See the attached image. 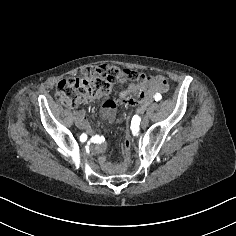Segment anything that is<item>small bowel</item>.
Returning a JSON list of instances; mask_svg holds the SVG:
<instances>
[{
	"label": "small bowel",
	"mask_w": 236,
	"mask_h": 236,
	"mask_svg": "<svg viewBox=\"0 0 236 236\" xmlns=\"http://www.w3.org/2000/svg\"><path fill=\"white\" fill-rule=\"evenodd\" d=\"M125 77H120V82H125ZM166 85L159 84L157 82H138L131 83L120 93L119 101L115 102L113 100L107 99L103 103L101 110V118L105 121L111 122L115 117V110L118 104L131 106L140 105V110L143 111L151 102V98L156 91H164ZM74 120L78 127L86 130L87 132L93 134L92 136V147L93 150L102 154L106 151L107 145L105 140L100 135H95L93 129L91 128L89 122L86 119L85 112L83 109H77L74 113ZM101 167L110 174H119L123 172L125 168V162L114 163L109 161L104 155H101L98 159Z\"/></svg>",
	"instance_id": "c3829d8e"
}]
</instances>
